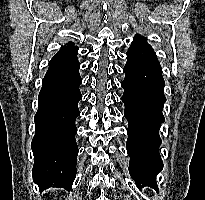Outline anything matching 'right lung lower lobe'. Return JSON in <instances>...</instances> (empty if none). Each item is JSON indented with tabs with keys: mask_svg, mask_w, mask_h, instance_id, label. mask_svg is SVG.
I'll return each instance as SVG.
<instances>
[{
	"mask_svg": "<svg viewBox=\"0 0 205 200\" xmlns=\"http://www.w3.org/2000/svg\"><path fill=\"white\" fill-rule=\"evenodd\" d=\"M77 47H62L49 62L35 115L33 180L40 190H69L76 176L78 146L75 120L82 98Z\"/></svg>",
	"mask_w": 205,
	"mask_h": 200,
	"instance_id": "right-lung-lower-lobe-1",
	"label": "right lung lower lobe"
}]
</instances>
